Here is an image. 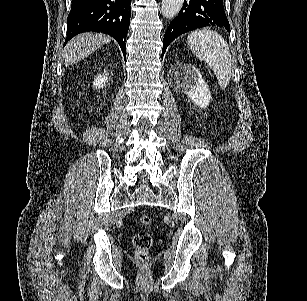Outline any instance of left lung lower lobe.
I'll list each match as a JSON object with an SVG mask.
<instances>
[{
	"mask_svg": "<svg viewBox=\"0 0 307 301\" xmlns=\"http://www.w3.org/2000/svg\"><path fill=\"white\" fill-rule=\"evenodd\" d=\"M207 25H218L230 32L229 22L223 9V0H187L178 16L167 28L162 49V58L168 45L185 32Z\"/></svg>",
	"mask_w": 307,
	"mask_h": 301,
	"instance_id": "0a47b994",
	"label": "left lung lower lobe"
}]
</instances>
